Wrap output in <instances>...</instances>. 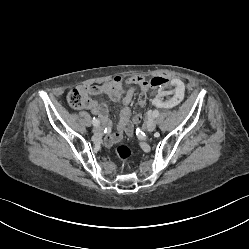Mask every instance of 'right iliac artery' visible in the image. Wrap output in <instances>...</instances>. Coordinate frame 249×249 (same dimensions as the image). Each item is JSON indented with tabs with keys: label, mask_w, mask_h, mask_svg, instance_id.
<instances>
[{
	"label": "right iliac artery",
	"mask_w": 249,
	"mask_h": 249,
	"mask_svg": "<svg viewBox=\"0 0 249 249\" xmlns=\"http://www.w3.org/2000/svg\"><path fill=\"white\" fill-rule=\"evenodd\" d=\"M92 123L94 126H99L100 122L98 119H96L95 117L92 119Z\"/></svg>",
	"instance_id": "82829eb1"
}]
</instances>
